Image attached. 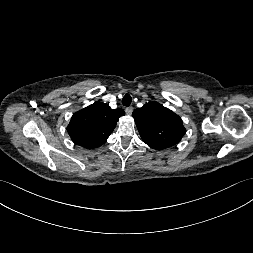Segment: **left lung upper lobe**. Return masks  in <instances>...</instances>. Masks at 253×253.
I'll return each instance as SVG.
<instances>
[{
  "label": "left lung upper lobe",
  "instance_id": "obj_1",
  "mask_svg": "<svg viewBox=\"0 0 253 253\" xmlns=\"http://www.w3.org/2000/svg\"><path fill=\"white\" fill-rule=\"evenodd\" d=\"M132 116L142 140L157 150L177 144L186 132L181 118L157 102L135 109Z\"/></svg>",
  "mask_w": 253,
  "mask_h": 253
}]
</instances>
